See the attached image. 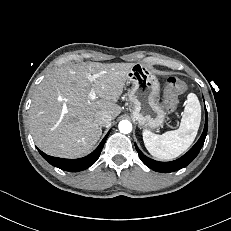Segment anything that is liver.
<instances>
[{
  "label": "liver",
  "mask_w": 231,
  "mask_h": 231,
  "mask_svg": "<svg viewBox=\"0 0 231 231\" xmlns=\"http://www.w3.org/2000/svg\"><path fill=\"white\" fill-rule=\"evenodd\" d=\"M133 65L82 62L54 69L38 85L29 110L36 145L56 157L88 154L102 135L96 112L105 110L112 118L120 114L121 107L115 102ZM90 92L102 99H87Z\"/></svg>",
  "instance_id": "1"
}]
</instances>
